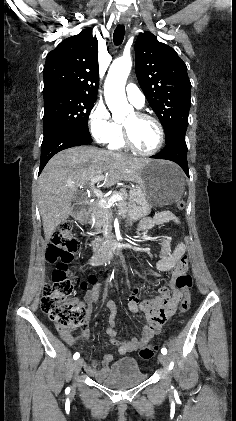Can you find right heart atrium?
Masks as SVG:
<instances>
[{"label": "right heart atrium", "mask_w": 236, "mask_h": 421, "mask_svg": "<svg viewBox=\"0 0 236 421\" xmlns=\"http://www.w3.org/2000/svg\"><path fill=\"white\" fill-rule=\"evenodd\" d=\"M120 125L102 101H97L89 115V129L96 142L109 143L119 131Z\"/></svg>", "instance_id": "right-heart-atrium-1"}]
</instances>
